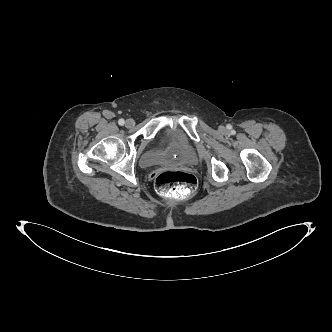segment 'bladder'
<instances>
[{
	"mask_svg": "<svg viewBox=\"0 0 332 332\" xmlns=\"http://www.w3.org/2000/svg\"><path fill=\"white\" fill-rule=\"evenodd\" d=\"M198 161L189 139L178 131H166L157 142L155 151L144 152L139 158L141 167L194 165Z\"/></svg>",
	"mask_w": 332,
	"mask_h": 332,
	"instance_id": "bladder-1",
	"label": "bladder"
}]
</instances>
